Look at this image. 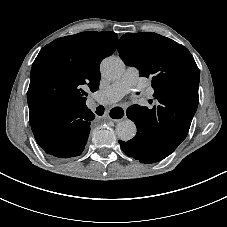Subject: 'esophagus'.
Returning a JSON list of instances; mask_svg holds the SVG:
<instances>
[{
	"instance_id": "1",
	"label": "esophagus",
	"mask_w": 227,
	"mask_h": 227,
	"mask_svg": "<svg viewBox=\"0 0 227 227\" xmlns=\"http://www.w3.org/2000/svg\"><path fill=\"white\" fill-rule=\"evenodd\" d=\"M107 116L113 121H121L126 116V112L121 106H113L108 110Z\"/></svg>"
}]
</instances>
